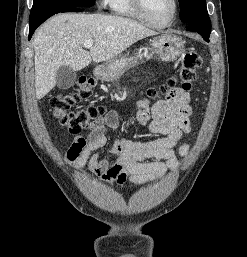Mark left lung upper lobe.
<instances>
[{
	"instance_id": "obj_1",
	"label": "left lung upper lobe",
	"mask_w": 247,
	"mask_h": 257,
	"mask_svg": "<svg viewBox=\"0 0 247 257\" xmlns=\"http://www.w3.org/2000/svg\"><path fill=\"white\" fill-rule=\"evenodd\" d=\"M180 4V19L186 24L199 23L211 28L210 18L206 8V0H178Z\"/></svg>"
}]
</instances>
